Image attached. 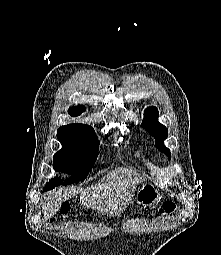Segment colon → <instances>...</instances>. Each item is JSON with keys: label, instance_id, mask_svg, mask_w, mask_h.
<instances>
[{"label": "colon", "instance_id": "5ec220e1", "mask_svg": "<svg viewBox=\"0 0 221 255\" xmlns=\"http://www.w3.org/2000/svg\"><path fill=\"white\" fill-rule=\"evenodd\" d=\"M175 208H176L175 203L171 200H167L162 204L159 212L161 214H168V213L173 212L175 210ZM67 211H68V207L66 205H64L61 210L62 214H66Z\"/></svg>", "mask_w": 221, "mask_h": 255}]
</instances>
